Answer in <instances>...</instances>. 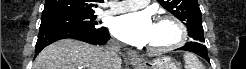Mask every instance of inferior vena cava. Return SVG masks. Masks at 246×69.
Returning a JSON list of instances; mask_svg holds the SVG:
<instances>
[{
  "instance_id": "602c4592",
  "label": "inferior vena cava",
  "mask_w": 246,
  "mask_h": 69,
  "mask_svg": "<svg viewBox=\"0 0 246 69\" xmlns=\"http://www.w3.org/2000/svg\"><path fill=\"white\" fill-rule=\"evenodd\" d=\"M107 49L109 50L110 52V59L113 61V62H118L119 60V57H118V51L120 50V46L117 44V43H110L108 46H107Z\"/></svg>"
}]
</instances>
